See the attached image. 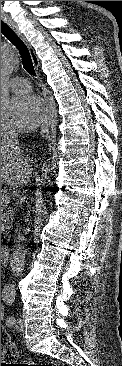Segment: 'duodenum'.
<instances>
[{
  "instance_id": "duodenum-1",
  "label": "duodenum",
  "mask_w": 122,
  "mask_h": 366,
  "mask_svg": "<svg viewBox=\"0 0 122 366\" xmlns=\"http://www.w3.org/2000/svg\"><path fill=\"white\" fill-rule=\"evenodd\" d=\"M1 255H2V252H1ZM6 255V252H3V257Z\"/></svg>"
}]
</instances>
